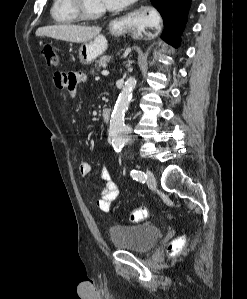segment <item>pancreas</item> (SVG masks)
I'll use <instances>...</instances> for the list:
<instances>
[{"mask_svg":"<svg viewBox=\"0 0 247 299\" xmlns=\"http://www.w3.org/2000/svg\"><path fill=\"white\" fill-rule=\"evenodd\" d=\"M110 61V57L105 55L102 56L99 60L95 62L94 70L93 71H100L101 67H105L106 63Z\"/></svg>","mask_w":247,"mask_h":299,"instance_id":"pancreas-1","label":"pancreas"}]
</instances>
